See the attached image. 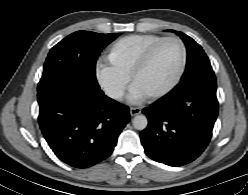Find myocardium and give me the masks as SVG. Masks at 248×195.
Listing matches in <instances>:
<instances>
[{
	"mask_svg": "<svg viewBox=\"0 0 248 195\" xmlns=\"http://www.w3.org/2000/svg\"><path fill=\"white\" fill-rule=\"evenodd\" d=\"M170 41H176L181 45L182 48V60H181V65L179 67V70L173 80L163 89L156 91V92H149L145 93V95L152 97V98H160L166 94H168L171 90H173L176 85L179 83L180 79L182 78V75L185 71L186 68V63H187V48L185 43L183 42L182 39L176 36H170L165 38L162 42H160L157 46H155L151 52L146 56V58L141 62L139 67L136 69L133 79H132V85L135 89H138L137 84L138 81L143 73H145L154 63L159 51L162 49L164 45H166Z\"/></svg>",
	"mask_w": 248,
	"mask_h": 195,
	"instance_id": "1",
	"label": "myocardium"
}]
</instances>
